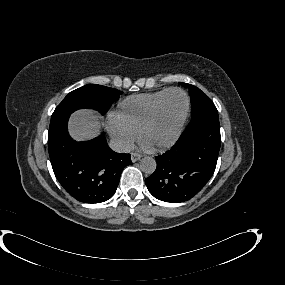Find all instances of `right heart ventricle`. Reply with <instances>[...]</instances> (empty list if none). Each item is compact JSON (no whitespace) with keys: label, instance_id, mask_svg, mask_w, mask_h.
Masks as SVG:
<instances>
[{"label":"right heart ventricle","instance_id":"e07e8e85","mask_svg":"<svg viewBox=\"0 0 285 285\" xmlns=\"http://www.w3.org/2000/svg\"><path fill=\"white\" fill-rule=\"evenodd\" d=\"M168 89L132 95L118 104L116 119L135 134L150 115L154 105Z\"/></svg>","mask_w":285,"mask_h":285}]
</instances>
